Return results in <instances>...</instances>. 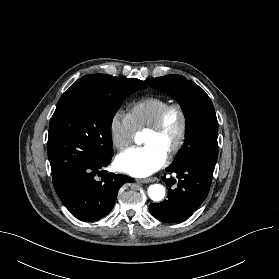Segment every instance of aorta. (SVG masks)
Masks as SVG:
<instances>
[{
  "label": "aorta",
  "instance_id": "obj_1",
  "mask_svg": "<svg viewBox=\"0 0 279 279\" xmlns=\"http://www.w3.org/2000/svg\"><path fill=\"white\" fill-rule=\"evenodd\" d=\"M148 195L153 201H161L165 196V188L161 184H152L148 188Z\"/></svg>",
  "mask_w": 279,
  "mask_h": 279
}]
</instances>
